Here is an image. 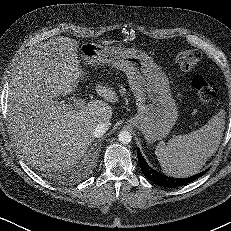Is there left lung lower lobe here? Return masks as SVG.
Instances as JSON below:
<instances>
[{
    "label": "left lung lower lobe",
    "instance_id": "left-lung-lower-lobe-1",
    "mask_svg": "<svg viewBox=\"0 0 231 231\" xmlns=\"http://www.w3.org/2000/svg\"><path fill=\"white\" fill-rule=\"evenodd\" d=\"M137 157H138V161H139V164L141 166V170H142L144 176L147 179H149L151 182H153L157 185H160V186L168 187V188L179 187V186L185 185L187 183H190V182L198 179L202 175H204L207 171V170H205L204 172H201V173L196 174L194 176H191L189 178L177 179V178H172V177L163 175V174L155 171L151 167H149V165L145 162V160H144V158L141 155L139 150L137 152Z\"/></svg>",
    "mask_w": 231,
    "mask_h": 231
}]
</instances>
